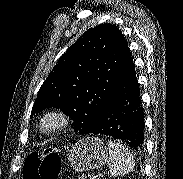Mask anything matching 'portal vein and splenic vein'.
<instances>
[{"label":"portal vein and splenic vein","mask_w":183,"mask_h":179,"mask_svg":"<svg viewBox=\"0 0 183 179\" xmlns=\"http://www.w3.org/2000/svg\"><path fill=\"white\" fill-rule=\"evenodd\" d=\"M97 177H98L97 175L93 177L90 176V179H96Z\"/></svg>","instance_id":"18ae733b"}]
</instances>
